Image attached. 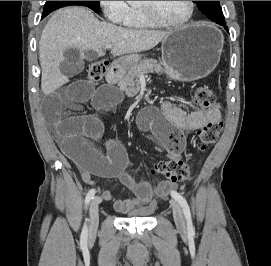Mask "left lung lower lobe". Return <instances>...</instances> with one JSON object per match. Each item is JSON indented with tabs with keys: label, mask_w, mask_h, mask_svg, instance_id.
I'll return each instance as SVG.
<instances>
[{
	"label": "left lung lower lobe",
	"mask_w": 271,
	"mask_h": 266,
	"mask_svg": "<svg viewBox=\"0 0 271 266\" xmlns=\"http://www.w3.org/2000/svg\"><path fill=\"white\" fill-rule=\"evenodd\" d=\"M223 27H225V29L228 31L227 27H226V23L222 25Z\"/></svg>",
	"instance_id": "left-lung-lower-lobe-1"
}]
</instances>
